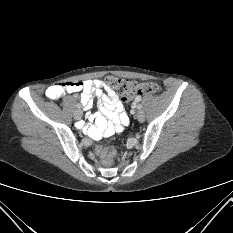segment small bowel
<instances>
[{
    "label": "small bowel",
    "mask_w": 233,
    "mask_h": 233,
    "mask_svg": "<svg viewBox=\"0 0 233 233\" xmlns=\"http://www.w3.org/2000/svg\"><path fill=\"white\" fill-rule=\"evenodd\" d=\"M81 91V104L84 110H89L93 106V96L98 99V113H89L87 118L95 124L81 129H86L88 135L98 140L102 137H110L116 132H121L129 123L128 115L124 109L119 95L103 83L102 79L70 81L56 83L49 86L45 92L47 98L57 100L65 93H76Z\"/></svg>",
    "instance_id": "obj_1"
}]
</instances>
